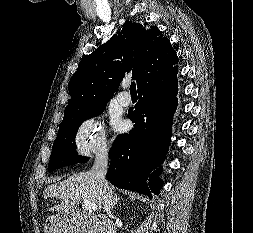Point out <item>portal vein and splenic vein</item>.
<instances>
[{"mask_svg":"<svg viewBox=\"0 0 253 233\" xmlns=\"http://www.w3.org/2000/svg\"><path fill=\"white\" fill-rule=\"evenodd\" d=\"M84 206L88 208L90 211L97 210V205L95 203H92L88 200H83Z\"/></svg>","mask_w":253,"mask_h":233,"instance_id":"portal-vein-and-splenic-vein-1","label":"portal vein and splenic vein"}]
</instances>
